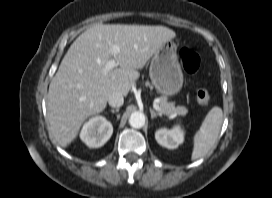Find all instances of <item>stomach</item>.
Listing matches in <instances>:
<instances>
[{
    "label": "stomach",
    "mask_w": 272,
    "mask_h": 198,
    "mask_svg": "<svg viewBox=\"0 0 272 198\" xmlns=\"http://www.w3.org/2000/svg\"><path fill=\"white\" fill-rule=\"evenodd\" d=\"M149 75L152 84L163 96L178 93L183 85V73L177 56V45L169 40L155 53L151 60Z\"/></svg>",
    "instance_id": "1"
}]
</instances>
